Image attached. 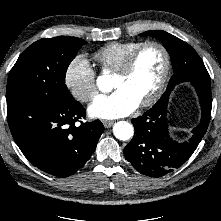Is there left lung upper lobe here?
<instances>
[{
  "instance_id": "left-lung-upper-lobe-1",
  "label": "left lung upper lobe",
  "mask_w": 221,
  "mask_h": 221,
  "mask_svg": "<svg viewBox=\"0 0 221 221\" xmlns=\"http://www.w3.org/2000/svg\"><path fill=\"white\" fill-rule=\"evenodd\" d=\"M140 36H151L159 39L168 51L174 74L167 89L184 81H199L210 84V76L202 59L186 42L161 30L143 32Z\"/></svg>"
}]
</instances>
